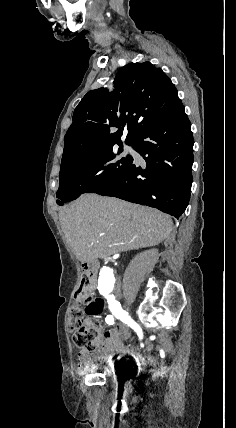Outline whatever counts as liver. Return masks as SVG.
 <instances>
[{"label":"liver","instance_id":"liver-1","mask_svg":"<svg viewBox=\"0 0 236 428\" xmlns=\"http://www.w3.org/2000/svg\"><path fill=\"white\" fill-rule=\"evenodd\" d=\"M64 236L80 262H92L118 252L158 246L172 230L159 210L84 194L59 212Z\"/></svg>","mask_w":236,"mask_h":428}]
</instances>
